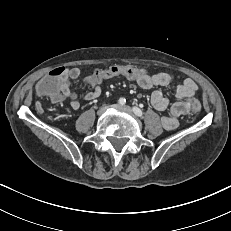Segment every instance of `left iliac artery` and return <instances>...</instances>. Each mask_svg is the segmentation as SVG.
Masks as SVG:
<instances>
[{"mask_svg":"<svg viewBox=\"0 0 231 231\" xmlns=\"http://www.w3.org/2000/svg\"><path fill=\"white\" fill-rule=\"evenodd\" d=\"M133 112L135 113V115H137L138 117H142L143 112L140 108L138 107H133Z\"/></svg>","mask_w":231,"mask_h":231,"instance_id":"44dca946","label":"left iliac artery"}]
</instances>
